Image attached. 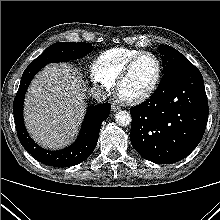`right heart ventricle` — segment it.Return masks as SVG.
I'll list each match as a JSON object with an SVG mask.
<instances>
[{
    "mask_svg": "<svg viewBox=\"0 0 220 220\" xmlns=\"http://www.w3.org/2000/svg\"><path fill=\"white\" fill-rule=\"evenodd\" d=\"M139 52L141 50L132 48H112L101 53L96 64L103 77L113 84L125 64Z\"/></svg>",
    "mask_w": 220,
    "mask_h": 220,
    "instance_id": "right-heart-ventricle-1",
    "label": "right heart ventricle"
}]
</instances>
